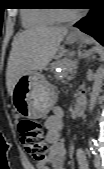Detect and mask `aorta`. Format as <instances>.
Segmentation results:
<instances>
[{"instance_id": "obj_1", "label": "aorta", "mask_w": 104, "mask_h": 169, "mask_svg": "<svg viewBox=\"0 0 104 169\" xmlns=\"http://www.w3.org/2000/svg\"><path fill=\"white\" fill-rule=\"evenodd\" d=\"M102 85H103V71L101 69H98L95 76H94V82L92 85V91L90 93V100H89V111L90 113L93 112L99 94L101 92L102 89Z\"/></svg>"}]
</instances>
